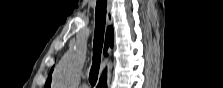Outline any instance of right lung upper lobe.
Returning <instances> with one entry per match:
<instances>
[{
  "label": "right lung upper lobe",
  "mask_w": 223,
  "mask_h": 88,
  "mask_svg": "<svg viewBox=\"0 0 223 88\" xmlns=\"http://www.w3.org/2000/svg\"><path fill=\"white\" fill-rule=\"evenodd\" d=\"M108 47H113V30H112L111 27H109L107 32H106L105 47H104V54L105 55H107V48ZM52 70H53V68H52ZM52 70H51V72L49 74V77L46 81L45 88H50ZM105 73L106 72H104L103 76H105Z\"/></svg>",
  "instance_id": "obj_1"
}]
</instances>
